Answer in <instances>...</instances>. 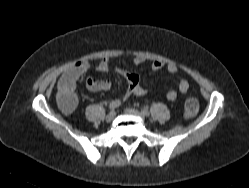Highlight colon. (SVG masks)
<instances>
[{"label":"colon","instance_id":"colon-1","mask_svg":"<svg viewBox=\"0 0 249 188\" xmlns=\"http://www.w3.org/2000/svg\"><path fill=\"white\" fill-rule=\"evenodd\" d=\"M58 102L64 111L71 112L76 107V97L70 91H59L57 95ZM199 109V104L196 98L188 97L184 102L185 118L194 117Z\"/></svg>","mask_w":249,"mask_h":188}]
</instances>
